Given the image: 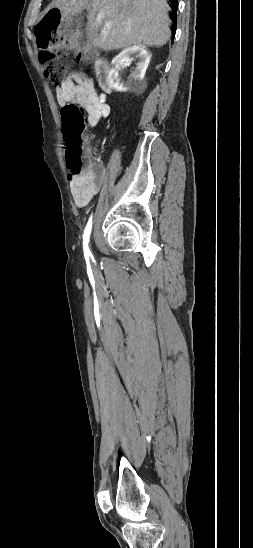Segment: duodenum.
Instances as JSON below:
<instances>
[{"instance_id": "duodenum-1", "label": "duodenum", "mask_w": 253, "mask_h": 548, "mask_svg": "<svg viewBox=\"0 0 253 548\" xmlns=\"http://www.w3.org/2000/svg\"><path fill=\"white\" fill-rule=\"evenodd\" d=\"M95 72L99 85L105 91L111 90L110 67L105 59H98L95 63Z\"/></svg>"}]
</instances>
